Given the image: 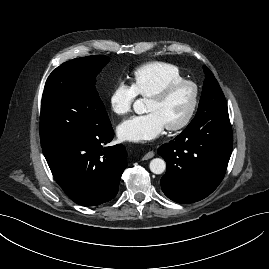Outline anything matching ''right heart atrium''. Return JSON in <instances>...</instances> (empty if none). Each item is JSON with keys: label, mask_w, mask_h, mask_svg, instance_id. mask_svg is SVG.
I'll use <instances>...</instances> for the list:
<instances>
[{"label": "right heart atrium", "mask_w": 269, "mask_h": 269, "mask_svg": "<svg viewBox=\"0 0 269 269\" xmlns=\"http://www.w3.org/2000/svg\"><path fill=\"white\" fill-rule=\"evenodd\" d=\"M136 97L137 94L132 85L118 81L109 95V106L113 113L122 116L131 110Z\"/></svg>", "instance_id": "obj_1"}]
</instances>
